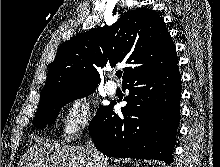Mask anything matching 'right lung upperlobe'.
<instances>
[{"instance_id": "obj_1", "label": "right lung upper lobe", "mask_w": 220, "mask_h": 167, "mask_svg": "<svg viewBox=\"0 0 220 167\" xmlns=\"http://www.w3.org/2000/svg\"><path fill=\"white\" fill-rule=\"evenodd\" d=\"M120 62L131 65L123 69V83L177 62L172 38L155 11H127L112 26L91 29L64 42L48 70L40 101L63 90L96 86L101 80L99 68Z\"/></svg>"}]
</instances>
